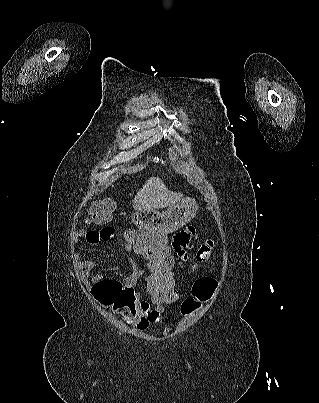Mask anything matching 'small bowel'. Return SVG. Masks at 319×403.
<instances>
[{
  "mask_svg": "<svg viewBox=\"0 0 319 403\" xmlns=\"http://www.w3.org/2000/svg\"><path fill=\"white\" fill-rule=\"evenodd\" d=\"M197 230L196 224H189L181 227L170 238V252L176 262L184 263L191 258L197 239ZM78 235L86 239L88 249H103L112 245L116 230L114 224H100L99 229L80 231ZM166 252H168L167 249ZM75 267L80 279L86 281L94 268V262L90 259L77 258ZM139 275V271L134 270L125 282V279H111L95 274L91 279L90 293L93 300L98 302V308L104 309L105 315H114L117 324H124L127 319V322L137 331L144 332L156 327L165 308L163 304H149L141 300L136 287ZM147 282H149L147 278L141 281L144 286ZM175 291L177 294L175 301H177L179 291L176 288ZM188 296H193V292L191 291ZM181 307L180 302L178 308Z\"/></svg>",
  "mask_w": 319,
  "mask_h": 403,
  "instance_id": "1",
  "label": "small bowel"
}]
</instances>
